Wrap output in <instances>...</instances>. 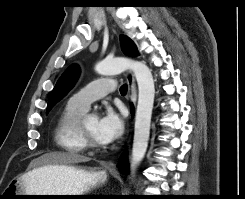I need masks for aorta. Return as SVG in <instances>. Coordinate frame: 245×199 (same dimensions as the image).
<instances>
[{
    "label": "aorta",
    "instance_id": "762f6f07",
    "mask_svg": "<svg viewBox=\"0 0 245 199\" xmlns=\"http://www.w3.org/2000/svg\"><path fill=\"white\" fill-rule=\"evenodd\" d=\"M133 71L138 84V104L135 115L134 138L130 164L133 176L137 166L145 156L150 136L151 116L154 104L155 86L151 70L140 61L125 57L105 59L95 66V71L104 76Z\"/></svg>",
    "mask_w": 245,
    "mask_h": 199
}]
</instances>
